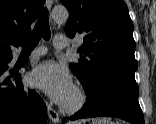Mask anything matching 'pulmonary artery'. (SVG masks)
Instances as JSON below:
<instances>
[{"mask_svg":"<svg viewBox=\"0 0 156 124\" xmlns=\"http://www.w3.org/2000/svg\"><path fill=\"white\" fill-rule=\"evenodd\" d=\"M69 45V41L64 35H56L54 38V47L57 49L65 48ZM46 52L45 48L38 49L31 54V57L43 55Z\"/></svg>","mask_w":156,"mask_h":124,"instance_id":"pulmonary-artery-1","label":"pulmonary artery"}]
</instances>
